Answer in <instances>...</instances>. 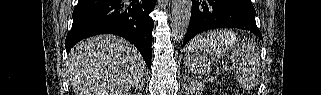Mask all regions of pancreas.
<instances>
[{
  "mask_svg": "<svg viewBox=\"0 0 321 95\" xmlns=\"http://www.w3.org/2000/svg\"><path fill=\"white\" fill-rule=\"evenodd\" d=\"M195 87H201V88H203V86H201V85H199V84H197Z\"/></svg>",
  "mask_w": 321,
  "mask_h": 95,
  "instance_id": "1",
  "label": "pancreas"
}]
</instances>
